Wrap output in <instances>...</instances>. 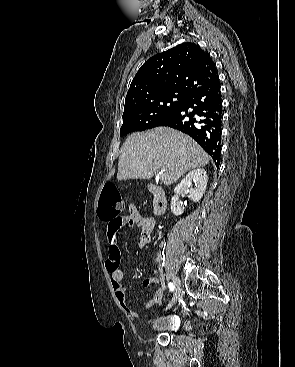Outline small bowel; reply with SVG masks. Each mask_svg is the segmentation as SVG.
<instances>
[{"label": "small bowel", "instance_id": "1", "mask_svg": "<svg viewBox=\"0 0 295 367\" xmlns=\"http://www.w3.org/2000/svg\"><path fill=\"white\" fill-rule=\"evenodd\" d=\"M126 226H137L140 228L138 246L143 248L151 242L155 221L151 217L143 216L135 206L130 205L127 215L121 216L119 219L114 221H108L107 223L106 237L109 254L105 262V267L110 274V281L117 302L126 313L130 314L131 316H136V311L127 303L125 287L122 284L123 271L120 268L119 237L121 229ZM158 283L162 284V280L156 276L146 277L142 280V285L144 287ZM163 293L164 288L162 285V287L158 289L146 302V308H151L159 303L163 298Z\"/></svg>", "mask_w": 295, "mask_h": 367}]
</instances>
